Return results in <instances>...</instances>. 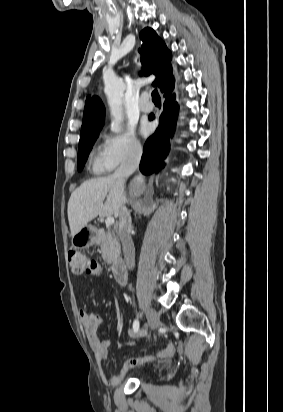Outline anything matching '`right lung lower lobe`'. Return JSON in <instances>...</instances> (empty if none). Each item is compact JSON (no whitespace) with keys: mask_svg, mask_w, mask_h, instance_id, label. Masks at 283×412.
Returning <instances> with one entry per match:
<instances>
[{"mask_svg":"<svg viewBox=\"0 0 283 412\" xmlns=\"http://www.w3.org/2000/svg\"><path fill=\"white\" fill-rule=\"evenodd\" d=\"M173 89L174 84H169L162 90L165 102L159 118V126L147 139L140 162V171L145 175L158 172L165 165L164 159L170 148L169 137L172 138L174 134L178 114V104L175 102V95L172 94Z\"/></svg>","mask_w":283,"mask_h":412,"instance_id":"obj_1","label":"right lung lower lobe"}]
</instances>
